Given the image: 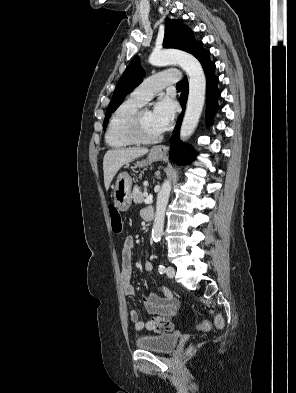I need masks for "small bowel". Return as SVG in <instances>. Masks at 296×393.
Masks as SVG:
<instances>
[{"label": "small bowel", "instance_id": "small-bowel-1", "mask_svg": "<svg viewBox=\"0 0 296 393\" xmlns=\"http://www.w3.org/2000/svg\"><path fill=\"white\" fill-rule=\"evenodd\" d=\"M145 216V210L141 212ZM134 247V239L132 236H127L122 246V264L120 269V280L122 289L125 295H135V288L132 283V253ZM145 270L147 272L153 271V263L147 261L145 263ZM156 288L163 294L162 297L146 293L143 296V306L146 312L153 315L147 322L140 320L139 313L136 309H130L129 317L137 331L143 329L153 331L157 334H164L174 329V324L171 322L172 316L175 314L179 301L172 292L159 282H154Z\"/></svg>", "mask_w": 296, "mask_h": 393}]
</instances>
